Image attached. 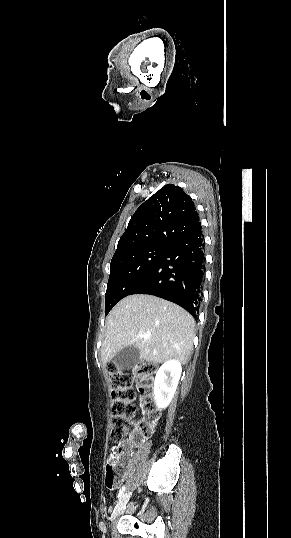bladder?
<instances>
[{"mask_svg": "<svg viewBox=\"0 0 291 538\" xmlns=\"http://www.w3.org/2000/svg\"><path fill=\"white\" fill-rule=\"evenodd\" d=\"M125 502H126V501H124L123 503H125ZM123 503H122V504H120L119 508H120V507H121V506L123 505Z\"/></svg>", "mask_w": 291, "mask_h": 538, "instance_id": "obj_1", "label": "bladder"}]
</instances>
